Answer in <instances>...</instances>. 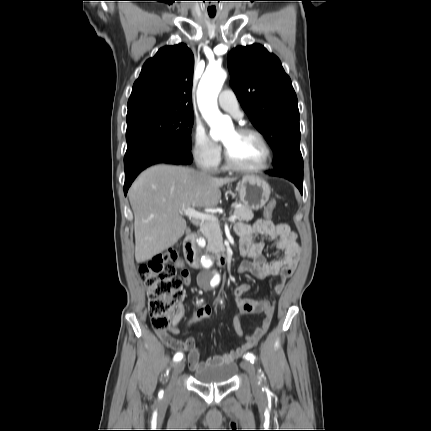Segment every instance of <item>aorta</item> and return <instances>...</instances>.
Wrapping results in <instances>:
<instances>
[{
	"instance_id": "obj_1",
	"label": "aorta",
	"mask_w": 431,
	"mask_h": 431,
	"mask_svg": "<svg viewBox=\"0 0 431 431\" xmlns=\"http://www.w3.org/2000/svg\"><path fill=\"white\" fill-rule=\"evenodd\" d=\"M227 77L226 72L217 66H209L204 72L197 90V102L202 116L210 126V135L217 140L223 137L231 122L218 109L217 97ZM201 262L206 268L213 265L209 255H202ZM219 278L218 274L212 276Z\"/></svg>"
}]
</instances>
